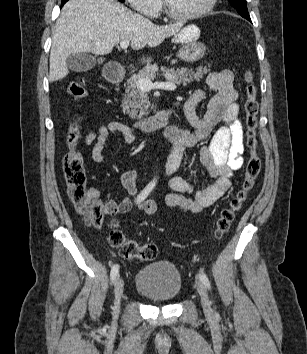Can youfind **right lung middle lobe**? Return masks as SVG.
<instances>
[{"label":"right lung middle lobe","instance_id":"right-lung-middle-lobe-1","mask_svg":"<svg viewBox=\"0 0 307 354\" xmlns=\"http://www.w3.org/2000/svg\"><path fill=\"white\" fill-rule=\"evenodd\" d=\"M120 2H124L125 0H119Z\"/></svg>","mask_w":307,"mask_h":354}]
</instances>
